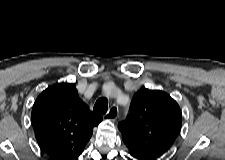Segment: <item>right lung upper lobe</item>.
Segmentation results:
<instances>
[{"label": "right lung upper lobe", "instance_id": "right-lung-upper-lobe-1", "mask_svg": "<svg viewBox=\"0 0 225 160\" xmlns=\"http://www.w3.org/2000/svg\"><path fill=\"white\" fill-rule=\"evenodd\" d=\"M32 124L41 149L55 160H77L102 117L80 100L74 84L44 90L32 109Z\"/></svg>", "mask_w": 225, "mask_h": 160}]
</instances>
